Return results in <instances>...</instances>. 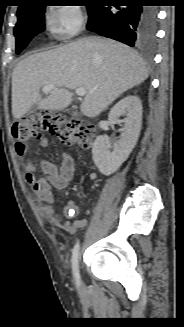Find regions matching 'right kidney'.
<instances>
[{
    "mask_svg": "<svg viewBox=\"0 0 184 327\" xmlns=\"http://www.w3.org/2000/svg\"><path fill=\"white\" fill-rule=\"evenodd\" d=\"M121 116H125L124 127L120 130V139L114 143V150H109V140L104 136H98L93 144L94 163L106 176L118 170L138 141L142 124V103L139 97L126 96L109 112V119L115 124L120 123Z\"/></svg>",
    "mask_w": 184,
    "mask_h": 327,
    "instance_id": "1",
    "label": "right kidney"
}]
</instances>
